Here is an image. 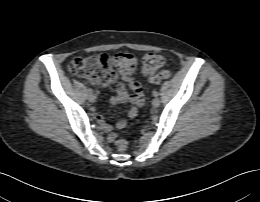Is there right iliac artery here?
Wrapping results in <instances>:
<instances>
[{
    "label": "right iliac artery",
    "instance_id": "obj_1",
    "mask_svg": "<svg viewBox=\"0 0 260 202\" xmlns=\"http://www.w3.org/2000/svg\"><path fill=\"white\" fill-rule=\"evenodd\" d=\"M87 92H88L89 94H92V93H93V90H92L91 88H89V89L87 90Z\"/></svg>",
    "mask_w": 260,
    "mask_h": 202
}]
</instances>
